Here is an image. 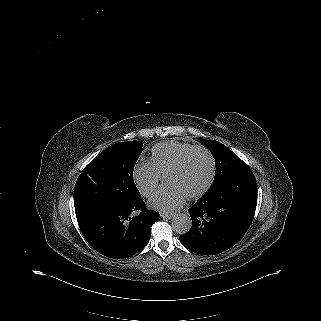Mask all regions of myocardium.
<instances>
[{
  "instance_id": "myocardium-1",
  "label": "myocardium",
  "mask_w": 321,
  "mask_h": 321,
  "mask_svg": "<svg viewBox=\"0 0 321 321\" xmlns=\"http://www.w3.org/2000/svg\"><path fill=\"white\" fill-rule=\"evenodd\" d=\"M203 154L208 157L210 161V173L207 176L206 180L198 187L193 189L184 188L179 185V179L191 167V162L195 156ZM216 175V163L212 153L204 147H197L193 150L186 160H184L179 166H177L174 171L168 175L167 179L171 183H174L184 194L189 197H197L204 193L213 183Z\"/></svg>"
}]
</instances>
